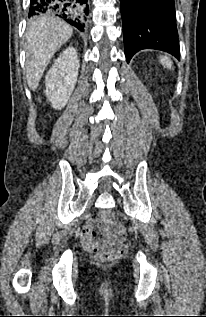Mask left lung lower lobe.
<instances>
[{
	"label": "left lung lower lobe",
	"instance_id": "0a47b994",
	"mask_svg": "<svg viewBox=\"0 0 206 317\" xmlns=\"http://www.w3.org/2000/svg\"><path fill=\"white\" fill-rule=\"evenodd\" d=\"M127 62L146 48L180 59L174 0H120Z\"/></svg>",
	"mask_w": 206,
	"mask_h": 317
}]
</instances>
